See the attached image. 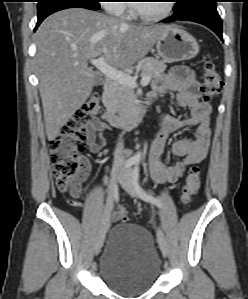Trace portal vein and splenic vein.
Returning <instances> with one entry per match:
<instances>
[{"label":"portal vein and splenic vein","mask_w":248,"mask_h":299,"mask_svg":"<svg viewBox=\"0 0 248 299\" xmlns=\"http://www.w3.org/2000/svg\"><path fill=\"white\" fill-rule=\"evenodd\" d=\"M90 62L107 78L119 82L121 84L128 85L132 88L137 86V77H132L123 71L113 68L105 61L104 57H99L98 59H91ZM149 82L150 78L148 76L142 77L141 85H147Z\"/></svg>","instance_id":"1"}]
</instances>
